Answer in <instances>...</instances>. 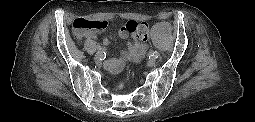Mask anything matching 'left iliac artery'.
I'll list each match as a JSON object with an SVG mask.
<instances>
[{"instance_id": "1", "label": "left iliac artery", "mask_w": 255, "mask_h": 122, "mask_svg": "<svg viewBox=\"0 0 255 122\" xmlns=\"http://www.w3.org/2000/svg\"><path fill=\"white\" fill-rule=\"evenodd\" d=\"M151 56H152L154 59H157V58L159 57V52L154 51V52H152Z\"/></svg>"}]
</instances>
